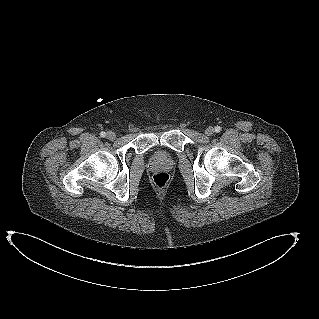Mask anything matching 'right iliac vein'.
Returning a JSON list of instances; mask_svg holds the SVG:
<instances>
[{"label": "right iliac vein", "instance_id": "63e3f726", "mask_svg": "<svg viewBox=\"0 0 319 319\" xmlns=\"http://www.w3.org/2000/svg\"><path fill=\"white\" fill-rule=\"evenodd\" d=\"M106 137L109 140H114L116 138V134L114 132H112V131H109V132H107Z\"/></svg>", "mask_w": 319, "mask_h": 319}]
</instances>
